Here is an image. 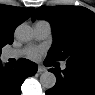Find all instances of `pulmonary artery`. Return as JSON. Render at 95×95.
Returning a JSON list of instances; mask_svg holds the SVG:
<instances>
[{
  "label": "pulmonary artery",
  "mask_w": 95,
  "mask_h": 95,
  "mask_svg": "<svg viewBox=\"0 0 95 95\" xmlns=\"http://www.w3.org/2000/svg\"><path fill=\"white\" fill-rule=\"evenodd\" d=\"M34 36L38 40H43L51 35V26L47 21H37L34 26ZM19 53L17 51L11 50L4 53L5 59L17 58ZM66 68V62L62 63V69Z\"/></svg>",
  "instance_id": "obj_1"
}]
</instances>
